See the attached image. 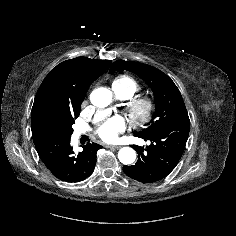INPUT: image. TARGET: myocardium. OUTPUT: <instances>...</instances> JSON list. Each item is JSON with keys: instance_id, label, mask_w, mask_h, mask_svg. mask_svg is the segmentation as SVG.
Listing matches in <instances>:
<instances>
[{"instance_id": "obj_1", "label": "myocardium", "mask_w": 236, "mask_h": 236, "mask_svg": "<svg viewBox=\"0 0 236 236\" xmlns=\"http://www.w3.org/2000/svg\"><path fill=\"white\" fill-rule=\"evenodd\" d=\"M155 103L153 99L145 96L132 98L127 104V112L130 120L135 125L147 123L153 116Z\"/></svg>"}]
</instances>
